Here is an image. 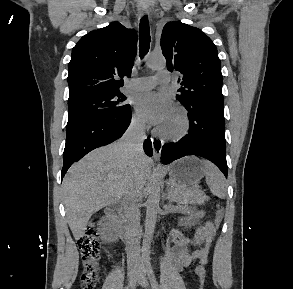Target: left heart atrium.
<instances>
[{"instance_id":"39dd6f15","label":"left heart atrium","mask_w":293,"mask_h":289,"mask_svg":"<svg viewBox=\"0 0 293 289\" xmlns=\"http://www.w3.org/2000/svg\"><path fill=\"white\" fill-rule=\"evenodd\" d=\"M136 108L145 120L158 126H161L174 111L170 98L159 92L140 95L136 100Z\"/></svg>"}]
</instances>
